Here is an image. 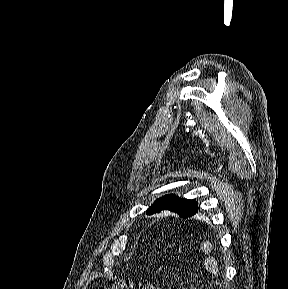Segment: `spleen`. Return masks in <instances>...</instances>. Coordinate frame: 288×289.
I'll return each instance as SVG.
<instances>
[{"label":"spleen","instance_id":"3e777b00","mask_svg":"<svg viewBox=\"0 0 288 289\" xmlns=\"http://www.w3.org/2000/svg\"><path fill=\"white\" fill-rule=\"evenodd\" d=\"M205 267L210 270V272L217 274L218 272V263L214 257H208L205 260Z\"/></svg>","mask_w":288,"mask_h":289}]
</instances>
